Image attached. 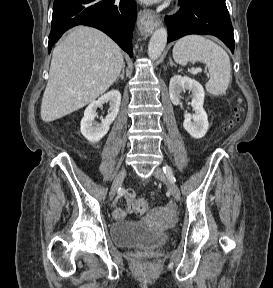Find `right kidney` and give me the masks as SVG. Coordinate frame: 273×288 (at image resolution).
<instances>
[{"label":"right kidney","instance_id":"right-kidney-1","mask_svg":"<svg viewBox=\"0 0 273 288\" xmlns=\"http://www.w3.org/2000/svg\"><path fill=\"white\" fill-rule=\"evenodd\" d=\"M120 102V92L112 90L88 105L81 120V133L89 142L97 143L107 134L110 124L117 117ZM105 103H109V113L105 119H102L101 123H96L94 121L97 116L96 110Z\"/></svg>","mask_w":273,"mask_h":288}]
</instances>
